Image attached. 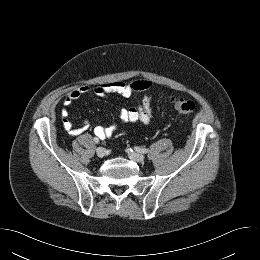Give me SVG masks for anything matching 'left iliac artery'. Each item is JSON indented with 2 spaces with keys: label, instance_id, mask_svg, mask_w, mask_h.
Returning a JSON list of instances; mask_svg holds the SVG:
<instances>
[{
  "label": "left iliac artery",
  "instance_id": "44dca946",
  "mask_svg": "<svg viewBox=\"0 0 260 260\" xmlns=\"http://www.w3.org/2000/svg\"><path fill=\"white\" fill-rule=\"evenodd\" d=\"M135 150H136L137 152H139V153H143V154H146V153L149 152V150L146 149V148L135 147Z\"/></svg>",
  "mask_w": 260,
  "mask_h": 260
}]
</instances>
